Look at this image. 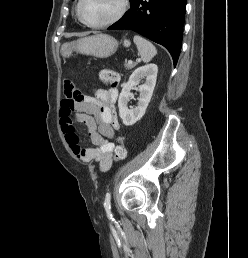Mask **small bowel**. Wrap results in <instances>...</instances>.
Segmentation results:
<instances>
[{
  "instance_id": "1",
  "label": "small bowel",
  "mask_w": 248,
  "mask_h": 258,
  "mask_svg": "<svg viewBox=\"0 0 248 258\" xmlns=\"http://www.w3.org/2000/svg\"><path fill=\"white\" fill-rule=\"evenodd\" d=\"M117 98L118 91L115 88L97 89L93 97H80L71 82L65 83V97L60 112L65 140L78 160L84 163L97 162L102 172L109 170L112 165L115 145L111 139L119 129L115 110ZM75 122L87 126L92 147L81 146Z\"/></svg>"
}]
</instances>
